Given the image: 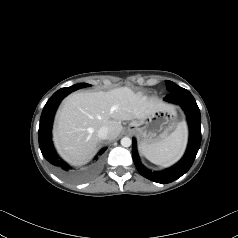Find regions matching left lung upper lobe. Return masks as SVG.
Returning a JSON list of instances; mask_svg holds the SVG:
<instances>
[{
    "label": "left lung upper lobe",
    "mask_w": 238,
    "mask_h": 238,
    "mask_svg": "<svg viewBox=\"0 0 238 238\" xmlns=\"http://www.w3.org/2000/svg\"><path fill=\"white\" fill-rule=\"evenodd\" d=\"M180 88V86L176 85L174 82L172 81H169V80H166V89L169 91V92H172L176 89Z\"/></svg>",
    "instance_id": "obj_1"
}]
</instances>
